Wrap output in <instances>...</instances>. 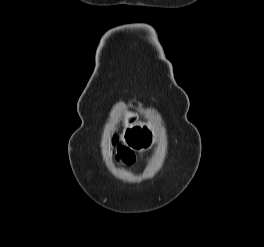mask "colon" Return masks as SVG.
<instances>
[{"instance_id": "5ec220e1", "label": "colon", "mask_w": 264, "mask_h": 247, "mask_svg": "<svg viewBox=\"0 0 264 247\" xmlns=\"http://www.w3.org/2000/svg\"><path fill=\"white\" fill-rule=\"evenodd\" d=\"M119 159L124 163H130L133 160V156L125 149H118Z\"/></svg>"}]
</instances>
